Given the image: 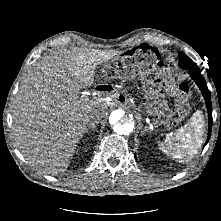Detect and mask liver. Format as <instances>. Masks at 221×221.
<instances>
[{
	"label": "liver",
	"mask_w": 221,
	"mask_h": 221,
	"mask_svg": "<svg viewBox=\"0 0 221 221\" xmlns=\"http://www.w3.org/2000/svg\"><path fill=\"white\" fill-rule=\"evenodd\" d=\"M117 50L72 48L44 56L28 71L13 109L15 144L29 164L45 172L66 169L92 116L106 115L112 104L98 95H80L94 83L98 65Z\"/></svg>",
	"instance_id": "obj_1"
}]
</instances>
